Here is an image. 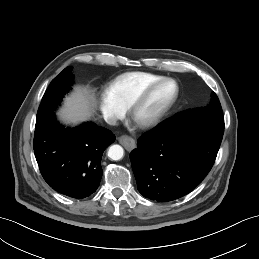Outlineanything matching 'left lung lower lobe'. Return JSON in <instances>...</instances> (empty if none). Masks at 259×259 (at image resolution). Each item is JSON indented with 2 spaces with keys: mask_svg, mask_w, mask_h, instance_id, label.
Masks as SVG:
<instances>
[{
  "mask_svg": "<svg viewBox=\"0 0 259 259\" xmlns=\"http://www.w3.org/2000/svg\"><path fill=\"white\" fill-rule=\"evenodd\" d=\"M224 133V117L196 114L160 123L130 153L139 192L159 202L196 188L211 170Z\"/></svg>",
  "mask_w": 259,
  "mask_h": 259,
  "instance_id": "obj_1",
  "label": "left lung lower lobe"
}]
</instances>
